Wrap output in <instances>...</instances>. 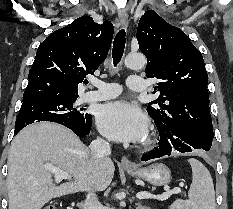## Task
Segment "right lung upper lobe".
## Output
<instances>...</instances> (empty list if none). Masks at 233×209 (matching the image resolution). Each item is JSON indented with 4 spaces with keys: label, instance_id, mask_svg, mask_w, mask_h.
Returning <instances> with one entry per match:
<instances>
[{
    "label": "right lung upper lobe",
    "instance_id": "obj_1",
    "mask_svg": "<svg viewBox=\"0 0 233 209\" xmlns=\"http://www.w3.org/2000/svg\"><path fill=\"white\" fill-rule=\"evenodd\" d=\"M114 27L82 16L51 33L39 46L29 71L23 103L48 98H77L78 83L107 57Z\"/></svg>",
    "mask_w": 233,
    "mask_h": 209
}]
</instances>
